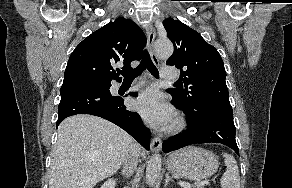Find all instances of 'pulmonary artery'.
Wrapping results in <instances>:
<instances>
[{
    "label": "pulmonary artery",
    "instance_id": "obj_1",
    "mask_svg": "<svg viewBox=\"0 0 292 188\" xmlns=\"http://www.w3.org/2000/svg\"><path fill=\"white\" fill-rule=\"evenodd\" d=\"M161 75L165 79H176L178 78V72L173 67H163Z\"/></svg>",
    "mask_w": 292,
    "mask_h": 188
}]
</instances>
